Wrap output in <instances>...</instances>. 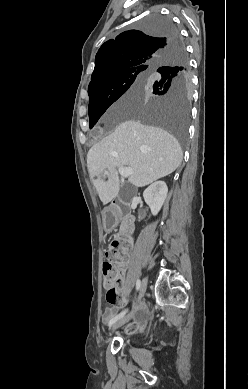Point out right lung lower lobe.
Returning <instances> with one entry per match:
<instances>
[{"instance_id": "obj_1", "label": "right lung lower lobe", "mask_w": 248, "mask_h": 389, "mask_svg": "<svg viewBox=\"0 0 248 389\" xmlns=\"http://www.w3.org/2000/svg\"><path fill=\"white\" fill-rule=\"evenodd\" d=\"M173 53H176L178 55H185L184 47L182 46L181 42H179V49L174 51ZM161 73V72H159Z\"/></svg>"}]
</instances>
